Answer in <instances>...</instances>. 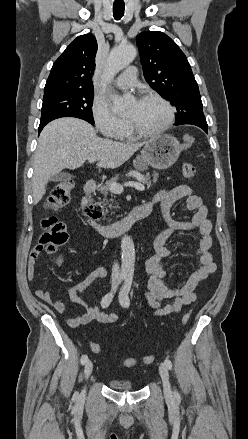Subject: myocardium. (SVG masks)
Wrapping results in <instances>:
<instances>
[{
    "label": "myocardium",
    "instance_id": "f54148a6",
    "mask_svg": "<svg viewBox=\"0 0 248 439\" xmlns=\"http://www.w3.org/2000/svg\"><path fill=\"white\" fill-rule=\"evenodd\" d=\"M158 100L161 103H163L165 105V107L168 110V119L167 122L165 123V125H163L162 127L155 129V130H145L142 129L141 127H139L132 119L127 118V123L130 127V129L137 135L140 137H149V136H154V135H158L161 133H164L166 131H168L172 125L174 124L175 121V108L173 107V105L162 95L158 94V93H146L144 95H142L139 100Z\"/></svg>",
    "mask_w": 248,
    "mask_h": 439
}]
</instances>
